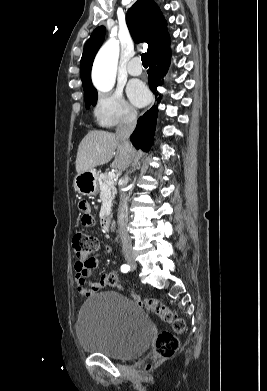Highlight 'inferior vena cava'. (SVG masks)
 <instances>
[{"instance_id":"602c4592","label":"inferior vena cava","mask_w":267,"mask_h":391,"mask_svg":"<svg viewBox=\"0 0 267 391\" xmlns=\"http://www.w3.org/2000/svg\"><path fill=\"white\" fill-rule=\"evenodd\" d=\"M136 123L137 114L133 111H129L125 114L124 118L116 128V136L119 139L123 148L125 149L126 153L128 154L129 164L131 163L133 156L129 138L136 127ZM128 180L129 178L126 175L124 182L128 183ZM128 201L129 196L125 192H122L119 203L118 227L124 253H128L132 250V242L127 231Z\"/></svg>"}]
</instances>
